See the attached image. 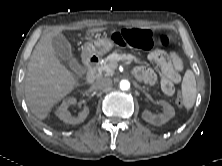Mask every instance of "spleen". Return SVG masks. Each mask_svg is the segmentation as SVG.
<instances>
[{"mask_svg": "<svg viewBox=\"0 0 222 166\" xmlns=\"http://www.w3.org/2000/svg\"><path fill=\"white\" fill-rule=\"evenodd\" d=\"M181 88L183 105L186 109H191L195 103L197 95L196 80L192 70H186Z\"/></svg>", "mask_w": 222, "mask_h": 166, "instance_id": "obj_1", "label": "spleen"}]
</instances>
